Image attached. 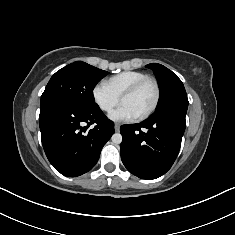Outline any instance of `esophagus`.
<instances>
[{
    "label": "esophagus",
    "instance_id": "obj_1",
    "mask_svg": "<svg viewBox=\"0 0 235 235\" xmlns=\"http://www.w3.org/2000/svg\"><path fill=\"white\" fill-rule=\"evenodd\" d=\"M114 128H115V131H116V132H119V130H120V125H119L118 123H116V124L114 125Z\"/></svg>",
    "mask_w": 235,
    "mask_h": 235
}]
</instances>
